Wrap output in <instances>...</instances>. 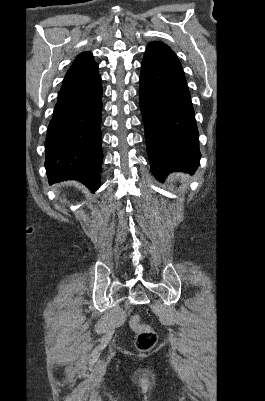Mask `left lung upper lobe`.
I'll return each instance as SVG.
<instances>
[{"instance_id":"1","label":"left lung upper lobe","mask_w":265,"mask_h":401,"mask_svg":"<svg viewBox=\"0 0 265 401\" xmlns=\"http://www.w3.org/2000/svg\"><path fill=\"white\" fill-rule=\"evenodd\" d=\"M144 58H153L166 64L181 67L180 61L170 47L158 41L151 42L147 46Z\"/></svg>"}]
</instances>
